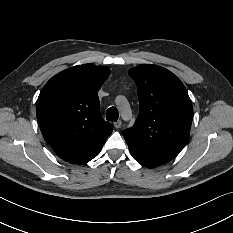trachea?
<instances>
[{"instance_id":"trachea-1","label":"trachea","mask_w":233,"mask_h":233,"mask_svg":"<svg viewBox=\"0 0 233 233\" xmlns=\"http://www.w3.org/2000/svg\"><path fill=\"white\" fill-rule=\"evenodd\" d=\"M119 117V112L116 107H110L106 111V120L117 121Z\"/></svg>"}]
</instances>
